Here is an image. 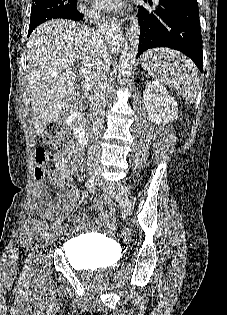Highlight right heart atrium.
Returning <instances> with one entry per match:
<instances>
[{"label": "right heart atrium", "mask_w": 227, "mask_h": 315, "mask_svg": "<svg viewBox=\"0 0 227 315\" xmlns=\"http://www.w3.org/2000/svg\"><path fill=\"white\" fill-rule=\"evenodd\" d=\"M77 8L82 13H85V14H88V15H94L95 14V10L93 8L87 6L85 3L81 2V1H78Z\"/></svg>", "instance_id": "d8ad5b80"}]
</instances>
